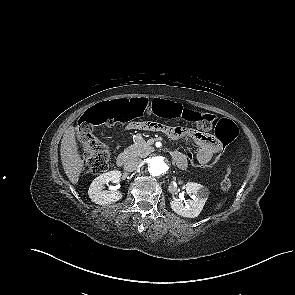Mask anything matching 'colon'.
<instances>
[{"mask_svg": "<svg viewBox=\"0 0 295 295\" xmlns=\"http://www.w3.org/2000/svg\"><path fill=\"white\" fill-rule=\"evenodd\" d=\"M145 113H152L161 118L183 119L205 131L214 129L217 138L223 143L220 147L221 151L217 152L211 161L203 164L197 162L190 148L187 147L184 150L192 168L197 171L209 170L215 167L227 153L229 143L238 136V128L232 121L228 119L216 121L214 115L184 108L180 104L171 101L155 99L150 102L146 99H134L106 102L87 110L79 117L76 123L77 137L85 148L83 153L84 171L91 175H99L108 168L109 150L95 136V126L111 127L116 124L131 122ZM155 125L160 130L166 129L164 125L157 123ZM231 184V169H227L220 187L222 190H228Z\"/></svg>", "mask_w": 295, "mask_h": 295, "instance_id": "obj_1", "label": "colon"}]
</instances>
